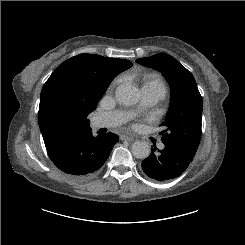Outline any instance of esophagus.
I'll list each match as a JSON object with an SVG mask.
<instances>
[{"label":"esophagus","mask_w":245,"mask_h":245,"mask_svg":"<svg viewBox=\"0 0 245 245\" xmlns=\"http://www.w3.org/2000/svg\"><path fill=\"white\" fill-rule=\"evenodd\" d=\"M119 138L122 141H134V138L132 136H128V135H125V134L120 135Z\"/></svg>","instance_id":"obj_1"}]
</instances>
